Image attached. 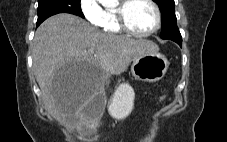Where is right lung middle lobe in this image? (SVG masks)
Wrapping results in <instances>:
<instances>
[{
  "mask_svg": "<svg viewBox=\"0 0 227 142\" xmlns=\"http://www.w3.org/2000/svg\"><path fill=\"white\" fill-rule=\"evenodd\" d=\"M58 13H70L84 18L80 0H38L37 22H43L48 17Z\"/></svg>",
  "mask_w": 227,
  "mask_h": 142,
  "instance_id": "dd1d6c3e",
  "label": "right lung middle lobe"
}]
</instances>
